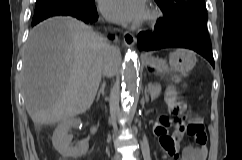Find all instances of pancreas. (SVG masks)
<instances>
[{
    "mask_svg": "<svg viewBox=\"0 0 242 160\" xmlns=\"http://www.w3.org/2000/svg\"><path fill=\"white\" fill-rule=\"evenodd\" d=\"M149 91L152 99L157 98L161 92V86L159 84H150Z\"/></svg>",
    "mask_w": 242,
    "mask_h": 160,
    "instance_id": "cf45deb5",
    "label": "pancreas"
}]
</instances>
